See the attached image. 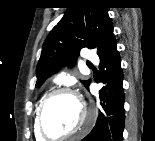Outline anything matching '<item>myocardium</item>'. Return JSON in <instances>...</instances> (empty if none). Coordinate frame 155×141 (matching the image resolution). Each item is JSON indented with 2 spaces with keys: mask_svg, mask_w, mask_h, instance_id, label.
<instances>
[{
  "mask_svg": "<svg viewBox=\"0 0 155 141\" xmlns=\"http://www.w3.org/2000/svg\"><path fill=\"white\" fill-rule=\"evenodd\" d=\"M59 94L70 95L78 101V103L80 104L82 111H83V119H82L81 123L71 132H68L66 134H62L59 136H52L46 131V129L44 127L43 116H44V111H45V108H46L49 100L53 96L59 95ZM91 121H92L91 114L87 110V107H86L84 101H82L71 89L66 88V87H58V88H55V89L49 91L48 93H46L43 96V98L41 99L39 106L37 108V113H36L37 130L43 139H48V140H64V139L76 136L77 134H79L82 131H84L85 129H87L90 126Z\"/></svg>",
  "mask_w": 155,
  "mask_h": 141,
  "instance_id": "f54148a6",
  "label": "myocardium"
}]
</instances>
